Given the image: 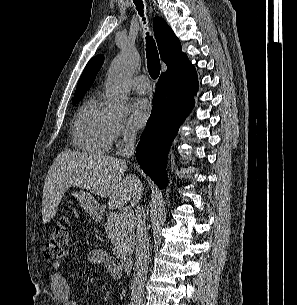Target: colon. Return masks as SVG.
Wrapping results in <instances>:
<instances>
[{"label": "colon", "instance_id": "colon-1", "mask_svg": "<svg viewBox=\"0 0 297 305\" xmlns=\"http://www.w3.org/2000/svg\"><path fill=\"white\" fill-rule=\"evenodd\" d=\"M46 252L56 260H64L70 255V222L67 218H61L55 225Z\"/></svg>", "mask_w": 297, "mask_h": 305}]
</instances>
